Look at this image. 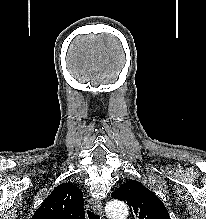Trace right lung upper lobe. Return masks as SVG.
Instances as JSON below:
<instances>
[{
  "label": "right lung upper lobe",
  "instance_id": "cb5924a9",
  "mask_svg": "<svg viewBox=\"0 0 206 219\" xmlns=\"http://www.w3.org/2000/svg\"><path fill=\"white\" fill-rule=\"evenodd\" d=\"M82 191L75 185L57 186L36 210L32 219H85Z\"/></svg>",
  "mask_w": 206,
  "mask_h": 219
}]
</instances>
